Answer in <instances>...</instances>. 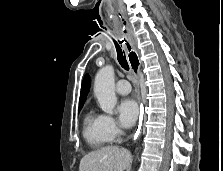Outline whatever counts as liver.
<instances>
[{"mask_svg":"<svg viewBox=\"0 0 223 171\" xmlns=\"http://www.w3.org/2000/svg\"><path fill=\"white\" fill-rule=\"evenodd\" d=\"M132 161L129 150L118 146H106L85 155L79 171H124Z\"/></svg>","mask_w":223,"mask_h":171,"instance_id":"6515ba94","label":"liver"}]
</instances>
